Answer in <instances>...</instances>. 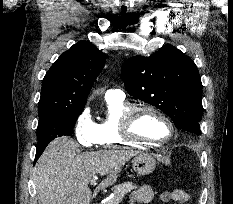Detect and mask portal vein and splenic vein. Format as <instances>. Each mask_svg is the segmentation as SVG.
Segmentation results:
<instances>
[{"instance_id":"18ae733b","label":"portal vein and splenic vein","mask_w":233,"mask_h":204,"mask_svg":"<svg viewBox=\"0 0 233 204\" xmlns=\"http://www.w3.org/2000/svg\"><path fill=\"white\" fill-rule=\"evenodd\" d=\"M90 184H91V185H96V180H95V179H92V180L90 181Z\"/></svg>"}]
</instances>
